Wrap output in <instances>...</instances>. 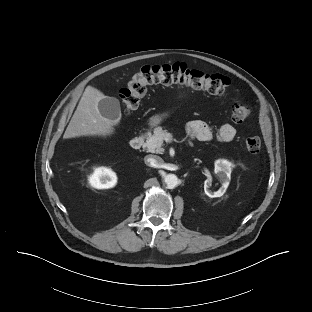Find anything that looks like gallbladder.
<instances>
[{"label":"gallbladder","instance_id":"bac80fb5","mask_svg":"<svg viewBox=\"0 0 312 312\" xmlns=\"http://www.w3.org/2000/svg\"><path fill=\"white\" fill-rule=\"evenodd\" d=\"M98 109L102 116L114 122L121 118L120 102L115 97H104L98 103Z\"/></svg>","mask_w":312,"mask_h":312}]
</instances>
